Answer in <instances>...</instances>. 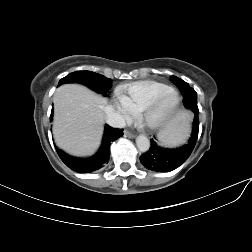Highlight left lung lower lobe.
<instances>
[{"mask_svg":"<svg viewBox=\"0 0 252 252\" xmlns=\"http://www.w3.org/2000/svg\"><path fill=\"white\" fill-rule=\"evenodd\" d=\"M183 95V104L194 113L193 130L187 144L176 149L160 147L153 139L151 147L140 157L141 163L149 170L164 172L172 171L182 165L193 151L199 130V110L197 106V93L188 83L178 84Z\"/></svg>","mask_w":252,"mask_h":252,"instance_id":"obj_1","label":"left lung lower lobe"}]
</instances>
